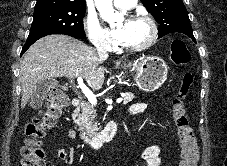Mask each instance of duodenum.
I'll return each mask as SVG.
<instances>
[{"instance_id": "obj_1", "label": "duodenum", "mask_w": 227, "mask_h": 166, "mask_svg": "<svg viewBox=\"0 0 227 166\" xmlns=\"http://www.w3.org/2000/svg\"><path fill=\"white\" fill-rule=\"evenodd\" d=\"M83 102L82 98H74L72 103L73 106L78 109ZM76 116V113H74V117ZM117 129V123L115 120H110L106 126L101 130V132L95 136V137H89L86 135L85 132H81V138L85 141V143L91 148V149H99L103 146L104 143L110 141Z\"/></svg>"}]
</instances>
